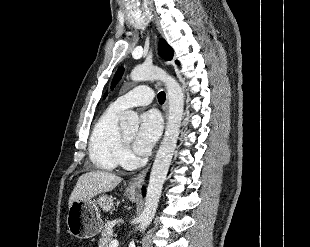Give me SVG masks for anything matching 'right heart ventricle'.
I'll use <instances>...</instances> for the list:
<instances>
[{
    "label": "right heart ventricle",
    "mask_w": 310,
    "mask_h": 247,
    "mask_svg": "<svg viewBox=\"0 0 310 247\" xmlns=\"http://www.w3.org/2000/svg\"><path fill=\"white\" fill-rule=\"evenodd\" d=\"M120 112L110 105L93 126L89 157L98 169L111 171L123 161L125 146L118 126Z\"/></svg>",
    "instance_id": "right-heart-ventricle-1"
}]
</instances>
